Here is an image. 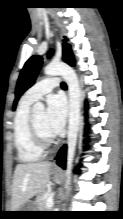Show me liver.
<instances>
[{"instance_id":"liver-1","label":"liver","mask_w":123,"mask_h":219,"mask_svg":"<svg viewBox=\"0 0 123 219\" xmlns=\"http://www.w3.org/2000/svg\"><path fill=\"white\" fill-rule=\"evenodd\" d=\"M50 162L18 164L12 183L11 211H18L32 197L40 194L50 179Z\"/></svg>"}]
</instances>
